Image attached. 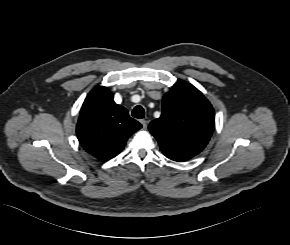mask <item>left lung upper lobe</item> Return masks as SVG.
Segmentation results:
<instances>
[{
    "label": "left lung upper lobe",
    "instance_id": "obj_1",
    "mask_svg": "<svg viewBox=\"0 0 290 245\" xmlns=\"http://www.w3.org/2000/svg\"><path fill=\"white\" fill-rule=\"evenodd\" d=\"M162 106V115L149 130L165 156L183 162L200 153L215 124L210 102L193 85L180 81L164 95Z\"/></svg>",
    "mask_w": 290,
    "mask_h": 245
}]
</instances>
